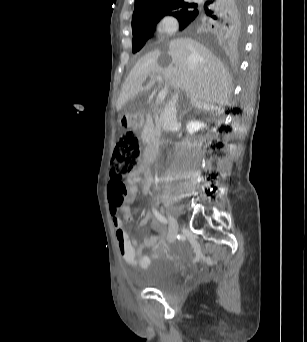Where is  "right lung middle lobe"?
<instances>
[{"instance_id":"1","label":"right lung middle lobe","mask_w":307,"mask_h":342,"mask_svg":"<svg viewBox=\"0 0 307 342\" xmlns=\"http://www.w3.org/2000/svg\"><path fill=\"white\" fill-rule=\"evenodd\" d=\"M152 36V32H145L133 35V53L138 52L146 43V41Z\"/></svg>"}]
</instances>
